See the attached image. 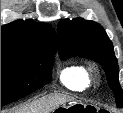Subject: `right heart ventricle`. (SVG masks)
<instances>
[{"mask_svg": "<svg viewBox=\"0 0 123 113\" xmlns=\"http://www.w3.org/2000/svg\"><path fill=\"white\" fill-rule=\"evenodd\" d=\"M88 69L79 64H70L60 71V80L68 88L80 90L89 83Z\"/></svg>", "mask_w": 123, "mask_h": 113, "instance_id": "right-heart-ventricle-1", "label": "right heart ventricle"}]
</instances>
